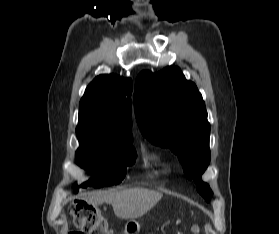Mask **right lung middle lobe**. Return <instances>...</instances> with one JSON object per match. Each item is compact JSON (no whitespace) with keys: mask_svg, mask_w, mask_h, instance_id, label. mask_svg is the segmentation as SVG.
Returning a JSON list of instances; mask_svg holds the SVG:
<instances>
[{"mask_svg":"<svg viewBox=\"0 0 279 234\" xmlns=\"http://www.w3.org/2000/svg\"><path fill=\"white\" fill-rule=\"evenodd\" d=\"M76 134L80 142L76 163L92 173V177L81 186L97 188L120 183L126 175L127 166L136 160L132 139L100 140L87 135L79 127ZM74 188L78 192L76 184Z\"/></svg>","mask_w":279,"mask_h":234,"instance_id":"1","label":"right lung middle lobe"}]
</instances>
